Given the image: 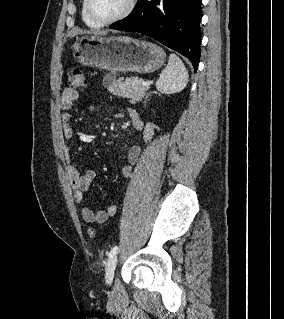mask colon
Wrapping results in <instances>:
<instances>
[{"label": "colon", "instance_id": "obj_1", "mask_svg": "<svg viewBox=\"0 0 284 319\" xmlns=\"http://www.w3.org/2000/svg\"><path fill=\"white\" fill-rule=\"evenodd\" d=\"M68 84L72 89H83L85 87L86 81L80 68L73 67L69 70ZM87 233L90 238H94L96 236V231L94 228H89Z\"/></svg>", "mask_w": 284, "mask_h": 319}]
</instances>
